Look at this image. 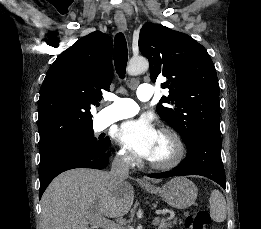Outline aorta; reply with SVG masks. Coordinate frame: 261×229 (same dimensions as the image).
<instances>
[{
  "label": "aorta",
  "mask_w": 261,
  "mask_h": 229,
  "mask_svg": "<svg viewBox=\"0 0 261 229\" xmlns=\"http://www.w3.org/2000/svg\"><path fill=\"white\" fill-rule=\"evenodd\" d=\"M148 68L149 62L147 58H144V56H133V58H130L126 70L128 74H141Z\"/></svg>",
  "instance_id": "1"
}]
</instances>
